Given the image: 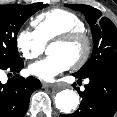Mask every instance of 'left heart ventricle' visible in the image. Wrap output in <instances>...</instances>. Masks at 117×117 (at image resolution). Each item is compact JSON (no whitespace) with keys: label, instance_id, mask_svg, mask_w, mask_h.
Here are the masks:
<instances>
[{"label":"left heart ventricle","instance_id":"left-heart-ventricle-1","mask_svg":"<svg viewBox=\"0 0 117 117\" xmlns=\"http://www.w3.org/2000/svg\"><path fill=\"white\" fill-rule=\"evenodd\" d=\"M49 55H58L65 58L70 64L79 59L83 52V45L74 43L69 45L52 44L48 47Z\"/></svg>","mask_w":117,"mask_h":117}]
</instances>
